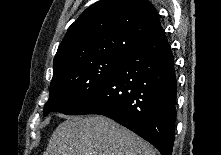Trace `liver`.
I'll use <instances>...</instances> for the list:
<instances>
[{
	"label": "liver",
	"mask_w": 221,
	"mask_h": 155,
	"mask_svg": "<svg viewBox=\"0 0 221 155\" xmlns=\"http://www.w3.org/2000/svg\"><path fill=\"white\" fill-rule=\"evenodd\" d=\"M142 138L104 116L66 120L52 134L44 155H155Z\"/></svg>",
	"instance_id": "1"
}]
</instances>
